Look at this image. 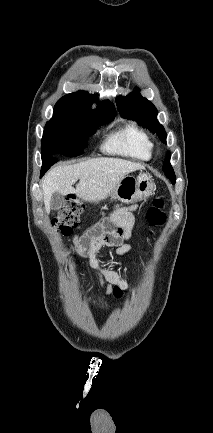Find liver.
<instances>
[{
  "label": "liver",
  "instance_id": "1",
  "mask_svg": "<svg viewBox=\"0 0 213 433\" xmlns=\"http://www.w3.org/2000/svg\"><path fill=\"white\" fill-rule=\"evenodd\" d=\"M143 168L139 163L108 157L55 167L45 175L42 182L45 210L47 213L50 211V200L54 192L62 195L74 193L86 202L105 199L127 174ZM77 180L79 183L73 188Z\"/></svg>",
  "mask_w": 213,
  "mask_h": 433
}]
</instances>
